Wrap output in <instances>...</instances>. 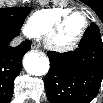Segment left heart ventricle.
I'll use <instances>...</instances> for the list:
<instances>
[{
  "mask_svg": "<svg viewBox=\"0 0 103 103\" xmlns=\"http://www.w3.org/2000/svg\"><path fill=\"white\" fill-rule=\"evenodd\" d=\"M84 26V17L82 15L72 16L60 29L56 36L59 43H67L72 41L82 30Z\"/></svg>",
  "mask_w": 103,
  "mask_h": 103,
  "instance_id": "b2bd125f",
  "label": "left heart ventricle"
}]
</instances>
